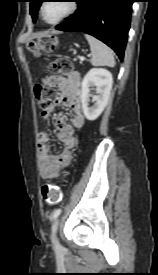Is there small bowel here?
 Listing matches in <instances>:
<instances>
[{
	"mask_svg": "<svg viewBox=\"0 0 158 275\" xmlns=\"http://www.w3.org/2000/svg\"><path fill=\"white\" fill-rule=\"evenodd\" d=\"M46 84L59 89L55 104L69 107L72 112L71 121H67L63 114L56 117V124L59 129L58 138L64 145V149L60 153L51 154L49 152V134L47 132L41 131L37 137L40 176L44 179H54L70 164L72 151L76 145L75 131L83 127L85 118L82 112L81 76L78 72L72 71L67 76H50L46 79ZM50 111L42 113L45 120L49 118Z\"/></svg>",
	"mask_w": 158,
	"mask_h": 275,
	"instance_id": "c3829d8e",
	"label": "small bowel"
}]
</instances>
